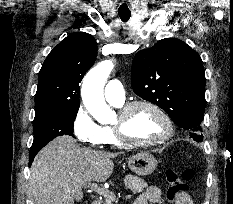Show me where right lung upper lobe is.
Masks as SVG:
<instances>
[{"mask_svg": "<svg viewBox=\"0 0 233 204\" xmlns=\"http://www.w3.org/2000/svg\"><path fill=\"white\" fill-rule=\"evenodd\" d=\"M97 43L88 33L67 36L48 55L39 72L36 113L80 106L79 83L93 66Z\"/></svg>", "mask_w": 233, "mask_h": 204, "instance_id": "obj_1", "label": "right lung upper lobe"}]
</instances>
